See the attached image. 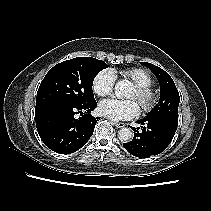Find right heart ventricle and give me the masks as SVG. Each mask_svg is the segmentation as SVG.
<instances>
[{
	"label": "right heart ventricle",
	"mask_w": 211,
	"mask_h": 211,
	"mask_svg": "<svg viewBox=\"0 0 211 211\" xmlns=\"http://www.w3.org/2000/svg\"><path fill=\"white\" fill-rule=\"evenodd\" d=\"M114 76H117L115 70H111ZM124 79L130 80L134 85L138 86H151L153 79L151 74L143 68H130L120 72Z\"/></svg>",
	"instance_id": "obj_1"
}]
</instances>
